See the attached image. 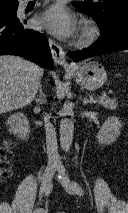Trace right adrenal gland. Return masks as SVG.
Here are the masks:
<instances>
[{
  "label": "right adrenal gland",
  "instance_id": "right-adrenal-gland-1",
  "mask_svg": "<svg viewBox=\"0 0 128 213\" xmlns=\"http://www.w3.org/2000/svg\"><path fill=\"white\" fill-rule=\"evenodd\" d=\"M39 95H37L35 97V101L37 102V104H42L45 100H46V95L45 93L42 91V85H39Z\"/></svg>",
  "mask_w": 128,
  "mask_h": 213
}]
</instances>
